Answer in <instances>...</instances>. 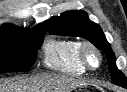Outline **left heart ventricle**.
Wrapping results in <instances>:
<instances>
[{
    "mask_svg": "<svg viewBox=\"0 0 127 92\" xmlns=\"http://www.w3.org/2000/svg\"><path fill=\"white\" fill-rule=\"evenodd\" d=\"M89 60H90V63L92 65H96L97 64V61H98V59H97V57L95 55H90Z\"/></svg>",
    "mask_w": 127,
    "mask_h": 92,
    "instance_id": "b2bd125f",
    "label": "left heart ventricle"
}]
</instances>
